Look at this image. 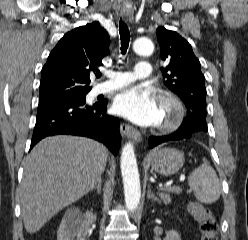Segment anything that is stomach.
<instances>
[{
  "instance_id": "obj_1",
  "label": "stomach",
  "mask_w": 248,
  "mask_h": 240,
  "mask_svg": "<svg viewBox=\"0 0 248 240\" xmlns=\"http://www.w3.org/2000/svg\"><path fill=\"white\" fill-rule=\"evenodd\" d=\"M148 161L154 171L168 176L176 173L183 166L184 155L177 149L166 147L153 152Z\"/></svg>"
}]
</instances>
